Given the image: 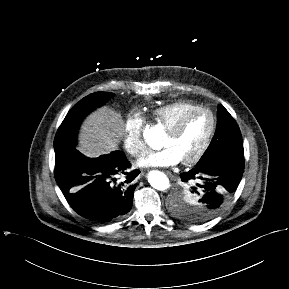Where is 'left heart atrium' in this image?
I'll use <instances>...</instances> for the list:
<instances>
[{
	"label": "left heart atrium",
	"instance_id": "1",
	"mask_svg": "<svg viewBox=\"0 0 289 289\" xmlns=\"http://www.w3.org/2000/svg\"><path fill=\"white\" fill-rule=\"evenodd\" d=\"M181 161L178 154L170 147L150 152L147 156L138 161L141 167H171Z\"/></svg>",
	"mask_w": 289,
	"mask_h": 289
}]
</instances>
